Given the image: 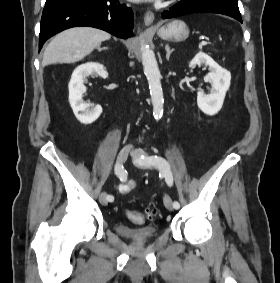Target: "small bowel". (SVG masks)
<instances>
[{
    "instance_id": "obj_1",
    "label": "small bowel",
    "mask_w": 280,
    "mask_h": 283,
    "mask_svg": "<svg viewBox=\"0 0 280 283\" xmlns=\"http://www.w3.org/2000/svg\"><path fill=\"white\" fill-rule=\"evenodd\" d=\"M136 187V182L134 180H128L125 183H121L118 190L121 194H126Z\"/></svg>"
}]
</instances>
